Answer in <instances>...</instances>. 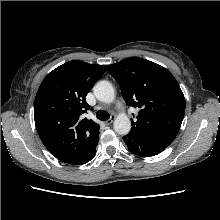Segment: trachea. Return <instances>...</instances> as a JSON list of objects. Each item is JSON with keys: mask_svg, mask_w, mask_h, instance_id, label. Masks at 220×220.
Segmentation results:
<instances>
[{"mask_svg": "<svg viewBox=\"0 0 220 220\" xmlns=\"http://www.w3.org/2000/svg\"><path fill=\"white\" fill-rule=\"evenodd\" d=\"M96 117L100 120H108L110 115L105 110H98L96 113Z\"/></svg>", "mask_w": 220, "mask_h": 220, "instance_id": "trachea-1", "label": "trachea"}]
</instances>
